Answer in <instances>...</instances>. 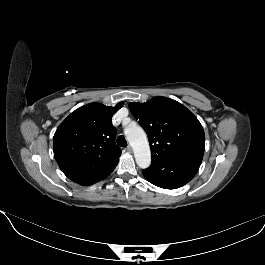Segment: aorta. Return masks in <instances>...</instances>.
Here are the masks:
<instances>
[{
  "mask_svg": "<svg viewBox=\"0 0 265 265\" xmlns=\"http://www.w3.org/2000/svg\"><path fill=\"white\" fill-rule=\"evenodd\" d=\"M124 133L133 148L137 165L142 169L148 168L151 164V152L145 131L134 124L125 128Z\"/></svg>",
  "mask_w": 265,
  "mask_h": 265,
  "instance_id": "obj_1",
  "label": "aorta"
}]
</instances>
